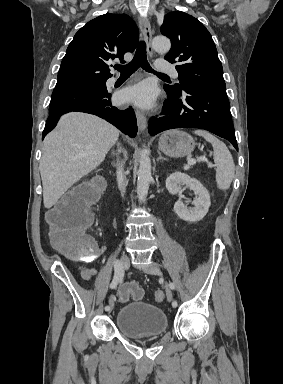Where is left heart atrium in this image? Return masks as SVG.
<instances>
[{
  "label": "left heart atrium",
  "instance_id": "left-heart-atrium-1",
  "mask_svg": "<svg viewBox=\"0 0 283 384\" xmlns=\"http://www.w3.org/2000/svg\"><path fill=\"white\" fill-rule=\"evenodd\" d=\"M155 96V87L144 82L122 90L117 99L120 103H133L138 106L148 107L154 102Z\"/></svg>",
  "mask_w": 283,
  "mask_h": 384
}]
</instances>
